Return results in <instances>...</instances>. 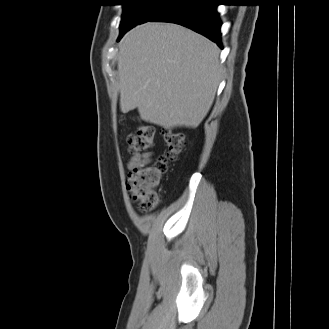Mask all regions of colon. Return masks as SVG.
I'll return each mask as SVG.
<instances>
[{
    "instance_id": "obj_1",
    "label": "colon",
    "mask_w": 329,
    "mask_h": 329,
    "mask_svg": "<svg viewBox=\"0 0 329 329\" xmlns=\"http://www.w3.org/2000/svg\"><path fill=\"white\" fill-rule=\"evenodd\" d=\"M155 130L150 125H139L137 132L127 137L129 151L142 153L154 146ZM166 151L150 165L135 167L129 174L126 189L131 199L138 203L143 211L155 208L160 201L156 191L163 175L166 173L168 163L176 160L183 152L185 139L177 130H165L163 132Z\"/></svg>"
}]
</instances>
